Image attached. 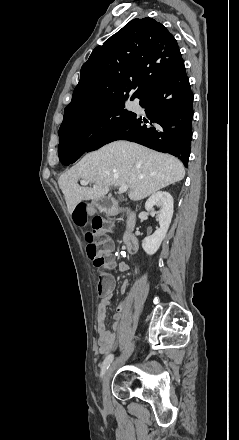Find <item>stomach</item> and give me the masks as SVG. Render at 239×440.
Here are the masks:
<instances>
[{"instance_id":"obj_1","label":"stomach","mask_w":239,"mask_h":440,"mask_svg":"<svg viewBox=\"0 0 239 440\" xmlns=\"http://www.w3.org/2000/svg\"><path fill=\"white\" fill-rule=\"evenodd\" d=\"M96 208H100L99 200H92L91 204L87 206V214L88 216H93L96 212Z\"/></svg>"}]
</instances>
